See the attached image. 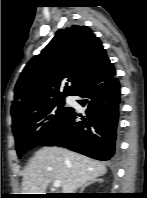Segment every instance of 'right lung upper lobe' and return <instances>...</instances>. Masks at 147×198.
<instances>
[{
	"label": "right lung upper lobe",
	"mask_w": 147,
	"mask_h": 198,
	"mask_svg": "<svg viewBox=\"0 0 147 198\" xmlns=\"http://www.w3.org/2000/svg\"><path fill=\"white\" fill-rule=\"evenodd\" d=\"M108 61L100 40L87 26L59 30L21 73L11 107L13 122L41 106L75 95ZM64 78L71 85L59 92Z\"/></svg>",
	"instance_id": "right-lung-upper-lobe-1"
}]
</instances>
